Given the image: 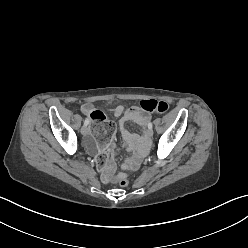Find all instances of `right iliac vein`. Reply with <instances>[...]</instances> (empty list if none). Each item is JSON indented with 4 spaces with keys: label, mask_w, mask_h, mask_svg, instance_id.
Instances as JSON below:
<instances>
[{
    "label": "right iliac vein",
    "mask_w": 248,
    "mask_h": 248,
    "mask_svg": "<svg viewBox=\"0 0 248 248\" xmlns=\"http://www.w3.org/2000/svg\"><path fill=\"white\" fill-rule=\"evenodd\" d=\"M88 132H89V127L86 126V125H83V127L81 128V133H82L83 135H87Z\"/></svg>",
    "instance_id": "63e3f726"
}]
</instances>
